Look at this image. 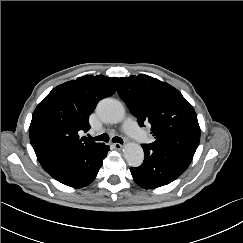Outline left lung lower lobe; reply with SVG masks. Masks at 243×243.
Listing matches in <instances>:
<instances>
[{"label": "left lung lower lobe", "mask_w": 243, "mask_h": 243, "mask_svg": "<svg viewBox=\"0 0 243 243\" xmlns=\"http://www.w3.org/2000/svg\"><path fill=\"white\" fill-rule=\"evenodd\" d=\"M144 161L131 167L134 181L145 189L169 184L189 166L196 150L182 147H157L143 144Z\"/></svg>", "instance_id": "left-lung-lower-lobe-1"}]
</instances>
